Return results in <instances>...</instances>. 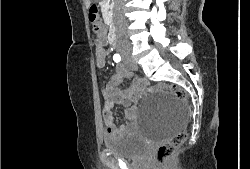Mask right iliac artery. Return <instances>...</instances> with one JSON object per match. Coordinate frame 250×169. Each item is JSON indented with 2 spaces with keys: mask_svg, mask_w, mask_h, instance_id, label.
<instances>
[{
  "mask_svg": "<svg viewBox=\"0 0 250 169\" xmlns=\"http://www.w3.org/2000/svg\"><path fill=\"white\" fill-rule=\"evenodd\" d=\"M113 60H114L115 62H119V61L121 60L120 55H119V54H115V55L113 56Z\"/></svg>",
  "mask_w": 250,
  "mask_h": 169,
  "instance_id": "right-iliac-artery-1",
  "label": "right iliac artery"
}]
</instances>
